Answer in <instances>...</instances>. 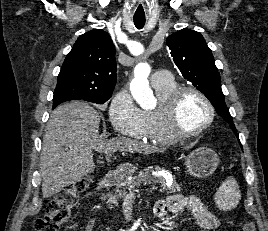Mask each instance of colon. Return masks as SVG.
I'll list each match as a JSON object with an SVG mask.
<instances>
[{"mask_svg":"<svg viewBox=\"0 0 268 231\" xmlns=\"http://www.w3.org/2000/svg\"><path fill=\"white\" fill-rule=\"evenodd\" d=\"M86 186L85 180H77L61 189L48 203L46 213L34 222L33 231H58L71 218ZM241 231H256L255 223L246 222Z\"/></svg>","mask_w":268,"mask_h":231,"instance_id":"1","label":"colon"}]
</instances>
